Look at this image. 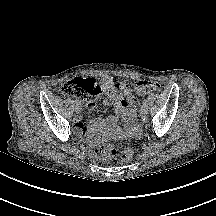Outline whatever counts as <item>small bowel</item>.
Segmentation results:
<instances>
[{"label":"small bowel","instance_id":"c3829d8e","mask_svg":"<svg viewBox=\"0 0 216 216\" xmlns=\"http://www.w3.org/2000/svg\"><path fill=\"white\" fill-rule=\"evenodd\" d=\"M102 88L108 101L113 104L116 115L123 121V125L118 124L116 117L110 116L107 119L91 120L86 126L82 117L75 115V131L79 135L87 136L92 145L127 138L138 131L135 119L139 101L133 88L112 77L102 79ZM106 104L107 101H105ZM93 107L94 103L87 104V108L92 109Z\"/></svg>","mask_w":216,"mask_h":216}]
</instances>
